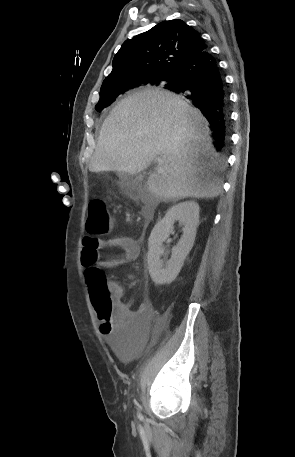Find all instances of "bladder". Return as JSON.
<instances>
[{
  "label": "bladder",
  "instance_id": "1",
  "mask_svg": "<svg viewBox=\"0 0 295 457\" xmlns=\"http://www.w3.org/2000/svg\"><path fill=\"white\" fill-rule=\"evenodd\" d=\"M106 347H115L114 355L128 362L142 356L143 338H106Z\"/></svg>",
  "mask_w": 295,
  "mask_h": 457
}]
</instances>
